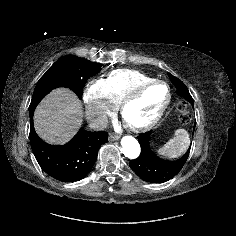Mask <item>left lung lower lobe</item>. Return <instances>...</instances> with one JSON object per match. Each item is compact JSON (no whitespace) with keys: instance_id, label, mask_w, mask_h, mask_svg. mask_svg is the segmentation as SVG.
I'll list each match as a JSON object with an SVG mask.
<instances>
[{"instance_id":"1","label":"left lung lower lobe","mask_w":236,"mask_h":236,"mask_svg":"<svg viewBox=\"0 0 236 236\" xmlns=\"http://www.w3.org/2000/svg\"><path fill=\"white\" fill-rule=\"evenodd\" d=\"M187 101L193 106L192 98ZM150 136L151 131L137 136L141 146V153L136 159L130 161V167L144 181L150 183H163L179 173L189 156L190 148L185 155L178 160H165L157 156L151 150Z\"/></svg>"}]
</instances>
